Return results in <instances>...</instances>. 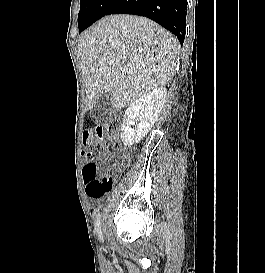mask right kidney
I'll list each match as a JSON object with an SVG mask.
<instances>
[{
  "instance_id": "obj_1",
  "label": "right kidney",
  "mask_w": 265,
  "mask_h": 273,
  "mask_svg": "<svg viewBox=\"0 0 265 273\" xmlns=\"http://www.w3.org/2000/svg\"><path fill=\"white\" fill-rule=\"evenodd\" d=\"M167 97L165 87L155 88L134 101L123 115L121 139L125 146L138 143L151 130ZM136 125V128H131Z\"/></svg>"
}]
</instances>
